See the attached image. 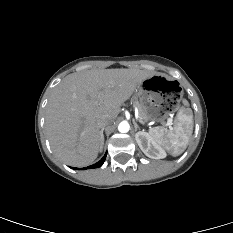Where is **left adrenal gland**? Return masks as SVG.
Here are the masks:
<instances>
[{
  "label": "left adrenal gland",
  "mask_w": 233,
  "mask_h": 233,
  "mask_svg": "<svg viewBox=\"0 0 233 233\" xmlns=\"http://www.w3.org/2000/svg\"><path fill=\"white\" fill-rule=\"evenodd\" d=\"M133 124H134V127H135V131H137V129L139 128L138 124L134 120H133Z\"/></svg>",
  "instance_id": "1"
}]
</instances>
